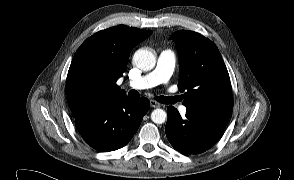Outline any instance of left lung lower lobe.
<instances>
[{
  "instance_id": "left-lung-lower-lobe-1",
  "label": "left lung lower lobe",
  "mask_w": 294,
  "mask_h": 180,
  "mask_svg": "<svg viewBox=\"0 0 294 180\" xmlns=\"http://www.w3.org/2000/svg\"><path fill=\"white\" fill-rule=\"evenodd\" d=\"M182 118L173 106L167 108L165 126L170 144L186 154H199L210 149L222 135L232 110L186 106Z\"/></svg>"
}]
</instances>
